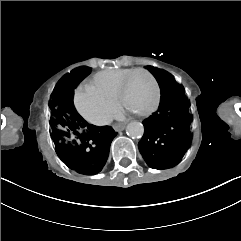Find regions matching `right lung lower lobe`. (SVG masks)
<instances>
[{"instance_id": "1", "label": "right lung lower lobe", "mask_w": 241, "mask_h": 241, "mask_svg": "<svg viewBox=\"0 0 241 241\" xmlns=\"http://www.w3.org/2000/svg\"><path fill=\"white\" fill-rule=\"evenodd\" d=\"M89 72L88 67H83L68 75L65 80L67 90L73 94L78 82ZM64 107L75 138L72 143L54 142L59 158L80 174L99 173L107 161L111 142L117 132L110 126L88 124L76 111L73 100H67Z\"/></svg>"}]
</instances>
